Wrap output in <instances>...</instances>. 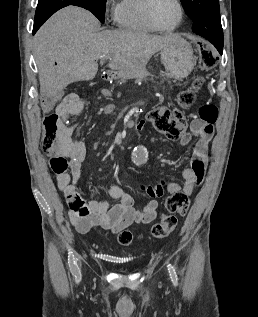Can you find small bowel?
Returning <instances> with one entry per match:
<instances>
[{
    "mask_svg": "<svg viewBox=\"0 0 258 317\" xmlns=\"http://www.w3.org/2000/svg\"><path fill=\"white\" fill-rule=\"evenodd\" d=\"M85 102L75 94L67 96L57 107L62 114L65 132L60 152L50 158V167L55 174L57 187L68 203V216L71 224L80 233L102 230L119 233L133 223L149 224L157 217L158 198L164 189L168 193L183 192L190 195L196 185L204 178L209 161L208 144L213 136V126L200 118H195L189 130L178 140L180 146H186L193 140V152L189 164L181 173L183 183L161 181L156 185L142 186V190L151 200L142 208H136L135 199L121 186L114 185L110 191V200L85 199L78 188L86 146L82 141L74 140L69 119L79 115ZM145 122L137 125L144 128Z\"/></svg>",
    "mask_w": 258,
    "mask_h": 317,
    "instance_id": "small-bowel-1",
    "label": "small bowel"
}]
</instances>
